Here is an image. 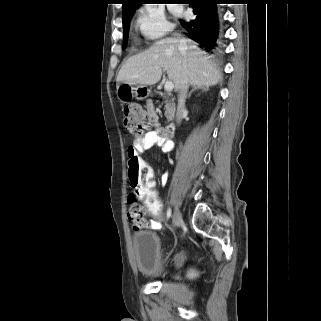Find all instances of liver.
Returning a JSON list of instances; mask_svg holds the SVG:
<instances>
[{
  "label": "liver",
  "mask_w": 321,
  "mask_h": 321,
  "mask_svg": "<svg viewBox=\"0 0 321 321\" xmlns=\"http://www.w3.org/2000/svg\"><path fill=\"white\" fill-rule=\"evenodd\" d=\"M177 38H165L155 42L146 51L130 57L117 76L120 83L132 85H154L160 81L162 70L176 90L180 89L184 73V56L179 50ZM186 42V67L189 84L194 87L214 86L222 80L220 71L206 52L190 39Z\"/></svg>",
  "instance_id": "1"
}]
</instances>
